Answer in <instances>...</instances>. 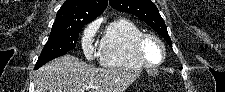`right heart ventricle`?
Returning a JSON list of instances; mask_svg holds the SVG:
<instances>
[{"label": "right heart ventricle", "instance_id": "1", "mask_svg": "<svg viewBox=\"0 0 225 92\" xmlns=\"http://www.w3.org/2000/svg\"><path fill=\"white\" fill-rule=\"evenodd\" d=\"M142 34L141 28L130 19L120 17L111 20L105 27L100 46L99 58L108 68H141L133 44Z\"/></svg>", "mask_w": 225, "mask_h": 92}]
</instances>
